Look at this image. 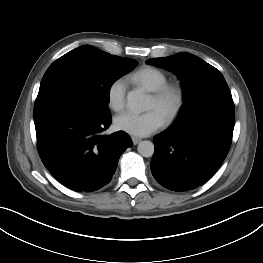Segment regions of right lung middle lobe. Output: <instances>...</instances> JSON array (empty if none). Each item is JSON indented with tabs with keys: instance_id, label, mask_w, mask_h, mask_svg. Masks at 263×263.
Returning <instances> with one entry per match:
<instances>
[{
	"instance_id": "obj_1",
	"label": "right lung middle lobe",
	"mask_w": 263,
	"mask_h": 263,
	"mask_svg": "<svg viewBox=\"0 0 263 263\" xmlns=\"http://www.w3.org/2000/svg\"><path fill=\"white\" fill-rule=\"evenodd\" d=\"M137 64L136 60L110 55L90 45L66 53L50 65L42 78L34 118L57 111L111 116L110 87Z\"/></svg>"
}]
</instances>
